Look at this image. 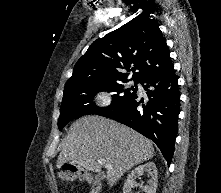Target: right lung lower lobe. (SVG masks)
Wrapping results in <instances>:
<instances>
[{"label": "right lung lower lobe", "instance_id": "1", "mask_svg": "<svg viewBox=\"0 0 221 193\" xmlns=\"http://www.w3.org/2000/svg\"><path fill=\"white\" fill-rule=\"evenodd\" d=\"M148 96V103L137 94L118 108L97 115L116 120L148 137L171 163L178 133L180 92L174 68L153 74L140 82ZM142 106L143 108H140Z\"/></svg>", "mask_w": 221, "mask_h": 193}]
</instances>
